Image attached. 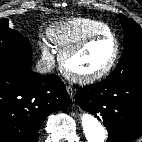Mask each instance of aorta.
Returning a JSON list of instances; mask_svg holds the SVG:
<instances>
[{
    "mask_svg": "<svg viewBox=\"0 0 142 142\" xmlns=\"http://www.w3.org/2000/svg\"><path fill=\"white\" fill-rule=\"evenodd\" d=\"M81 124L88 142H104L107 133L99 120L88 112L81 115Z\"/></svg>",
    "mask_w": 142,
    "mask_h": 142,
    "instance_id": "1",
    "label": "aorta"
}]
</instances>
